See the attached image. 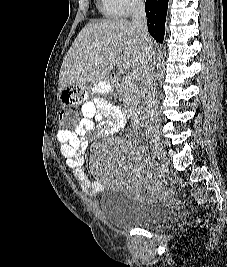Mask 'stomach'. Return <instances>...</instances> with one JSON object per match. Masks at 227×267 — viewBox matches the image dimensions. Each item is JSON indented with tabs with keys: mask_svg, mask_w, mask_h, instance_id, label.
Listing matches in <instances>:
<instances>
[{
	"mask_svg": "<svg viewBox=\"0 0 227 267\" xmlns=\"http://www.w3.org/2000/svg\"><path fill=\"white\" fill-rule=\"evenodd\" d=\"M93 88V87H91ZM112 90V85H95L94 91ZM90 87H62L58 91L56 101H62L64 107L81 106L87 102V94H90Z\"/></svg>",
	"mask_w": 227,
	"mask_h": 267,
	"instance_id": "1",
	"label": "stomach"
}]
</instances>
